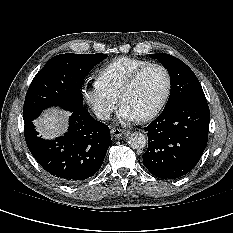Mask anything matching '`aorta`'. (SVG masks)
<instances>
[{
  "instance_id": "obj_1",
  "label": "aorta",
  "mask_w": 233,
  "mask_h": 233,
  "mask_svg": "<svg viewBox=\"0 0 233 233\" xmlns=\"http://www.w3.org/2000/svg\"><path fill=\"white\" fill-rule=\"evenodd\" d=\"M147 144V137L140 132H133L128 137V145L132 149H143Z\"/></svg>"
}]
</instances>
